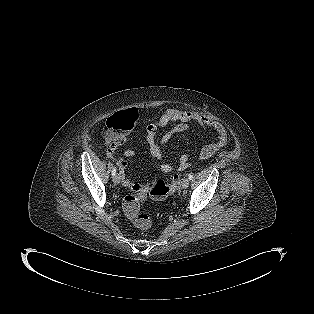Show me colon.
Segmentation results:
<instances>
[{
	"label": "colon",
	"instance_id": "5ec220e1",
	"mask_svg": "<svg viewBox=\"0 0 314 314\" xmlns=\"http://www.w3.org/2000/svg\"><path fill=\"white\" fill-rule=\"evenodd\" d=\"M138 113L134 108H128L115 113L107 119L104 126V136L107 142L118 140L134 128ZM181 175L174 176L170 186L158 178H152L147 183L129 184L133 191L127 195L122 203V208L130 222L140 230H147L152 226V217L140 211L141 203L148 197L156 199L166 198L170 192L175 191L180 183Z\"/></svg>",
	"mask_w": 314,
	"mask_h": 314
}]
</instances>
